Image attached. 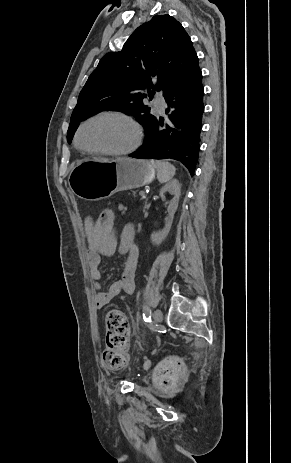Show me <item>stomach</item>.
<instances>
[{"instance_id": "0dacf381", "label": "stomach", "mask_w": 291, "mask_h": 463, "mask_svg": "<svg viewBox=\"0 0 291 463\" xmlns=\"http://www.w3.org/2000/svg\"><path fill=\"white\" fill-rule=\"evenodd\" d=\"M154 177V166L145 160L91 158L71 166L68 183L79 198L98 201L118 191L147 185Z\"/></svg>"}]
</instances>
